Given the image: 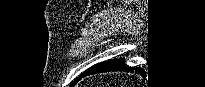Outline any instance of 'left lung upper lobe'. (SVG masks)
I'll return each mask as SVG.
<instances>
[{
	"instance_id": "obj_1",
	"label": "left lung upper lobe",
	"mask_w": 205,
	"mask_h": 87,
	"mask_svg": "<svg viewBox=\"0 0 205 87\" xmlns=\"http://www.w3.org/2000/svg\"><path fill=\"white\" fill-rule=\"evenodd\" d=\"M78 79V78H77ZM77 79H75V81L71 84V86H73V84L77 81Z\"/></svg>"
}]
</instances>
